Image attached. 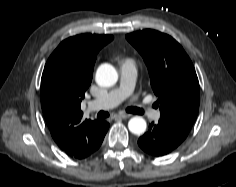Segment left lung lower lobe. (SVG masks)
I'll use <instances>...</instances> for the list:
<instances>
[{
    "instance_id": "obj_1",
    "label": "left lung lower lobe",
    "mask_w": 236,
    "mask_h": 187,
    "mask_svg": "<svg viewBox=\"0 0 236 187\" xmlns=\"http://www.w3.org/2000/svg\"><path fill=\"white\" fill-rule=\"evenodd\" d=\"M187 137L176 128L161 121L152 122L148 132L141 136L138 145L146 153L153 156H162L176 149Z\"/></svg>"
}]
</instances>
